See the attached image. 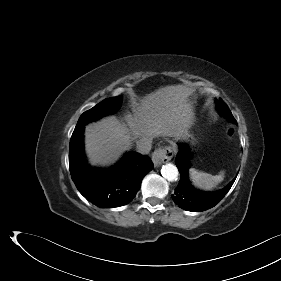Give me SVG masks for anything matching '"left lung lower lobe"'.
<instances>
[{"instance_id":"0a47b994","label":"left lung lower lobe","mask_w":281,"mask_h":281,"mask_svg":"<svg viewBox=\"0 0 281 281\" xmlns=\"http://www.w3.org/2000/svg\"><path fill=\"white\" fill-rule=\"evenodd\" d=\"M190 152L185 146H181L180 152L176 157V165L181 178L172 198L180 208L187 211H204L214 207L219 203L226 193L230 190L235 179L222 190L217 192H202L196 190L187 177L189 167Z\"/></svg>"}]
</instances>
